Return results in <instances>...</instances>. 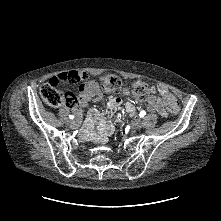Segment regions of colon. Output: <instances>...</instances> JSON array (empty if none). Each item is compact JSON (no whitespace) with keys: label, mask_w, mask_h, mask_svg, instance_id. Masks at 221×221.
Instances as JSON below:
<instances>
[{"label":"colon","mask_w":221,"mask_h":221,"mask_svg":"<svg viewBox=\"0 0 221 221\" xmlns=\"http://www.w3.org/2000/svg\"><path fill=\"white\" fill-rule=\"evenodd\" d=\"M120 78L115 75H107L103 78L100 86L102 90L114 91L121 87ZM132 95L140 101H144L149 97L150 87L142 82L137 81L131 87ZM40 95L43 101L50 107H60L62 105L72 106L77 102V97L72 92H63L58 88L50 87L47 83L41 86ZM166 102L171 112L177 113L179 105L174 97H167Z\"/></svg>","instance_id":"colon-1"}]
</instances>
